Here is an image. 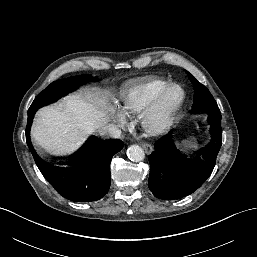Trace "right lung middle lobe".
<instances>
[{
	"label": "right lung middle lobe",
	"instance_id": "dd1d6c3e",
	"mask_svg": "<svg viewBox=\"0 0 257 257\" xmlns=\"http://www.w3.org/2000/svg\"><path fill=\"white\" fill-rule=\"evenodd\" d=\"M94 80L92 76L82 75L73 76L67 79L57 80L51 83L46 89H44L33 101L32 105L28 110V115L34 116L35 111L42 105L54 102L72 89L79 87V85L85 81Z\"/></svg>",
	"mask_w": 257,
	"mask_h": 257
}]
</instances>
